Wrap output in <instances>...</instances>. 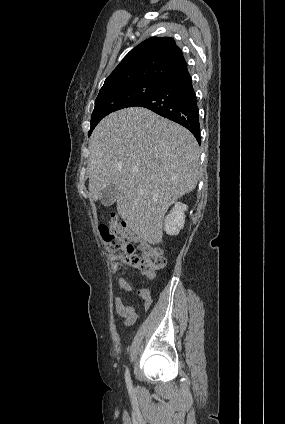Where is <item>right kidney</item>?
<instances>
[{
  "label": "right kidney",
  "mask_w": 285,
  "mask_h": 424,
  "mask_svg": "<svg viewBox=\"0 0 285 424\" xmlns=\"http://www.w3.org/2000/svg\"><path fill=\"white\" fill-rule=\"evenodd\" d=\"M188 206L181 202H176L170 213L165 218L164 230L169 235H177L183 229L185 223V212Z\"/></svg>",
  "instance_id": "ca27d5eb"
}]
</instances>
